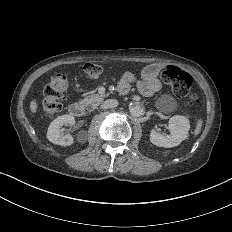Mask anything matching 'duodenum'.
Returning <instances> with one entry per match:
<instances>
[{
  "instance_id": "obj_1",
  "label": "duodenum",
  "mask_w": 232,
  "mask_h": 232,
  "mask_svg": "<svg viewBox=\"0 0 232 232\" xmlns=\"http://www.w3.org/2000/svg\"><path fill=\"white\" fill-rule=\"evenodd\" d=\"M69 112L75 117H81L84 114V108L80 103L75 102L69 106Z\"/></svg>"
}]
</instances>
